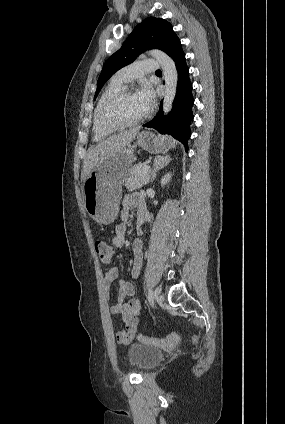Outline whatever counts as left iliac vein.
<instances>
[{
    "instance_id": "obj_1",
    "label": "left iliac vein",
    "mask_w": 285,
    "mask_h": 424,
    "mask_svg": "<svg viewBox=\"0 0 285 424\" xmlns=\"http://www.w3.org/2000/svg\"><path fill=\"white\" fill-rule=\"evenodd\" d=\"M155 299L158 303H162L164 301L163 295L160 293L159 288H156L155 290Z\"/></svg>"
}]
</instances>
